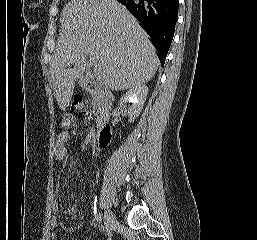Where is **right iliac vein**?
<instances>
[{
  "mask_svg": "<svg viewBox=\"0 0 257 240\" xmlns=\"http://www.w3.org/2000/svg\"><path fill=\"white\" fill-rule=\"evenodd\" d=\"M104 224L107 230L112 229L116 225V218L114 213L107 209L104 214Z\"/></svg>",
  "mask_w": 257,
  "mask_h": 240,
  "instance_id": "right-iliac-vein-1",
  "label": "right iliac vein"
}]
</instances>
